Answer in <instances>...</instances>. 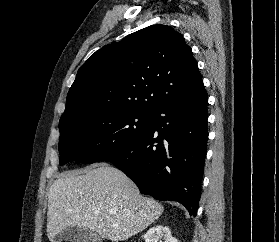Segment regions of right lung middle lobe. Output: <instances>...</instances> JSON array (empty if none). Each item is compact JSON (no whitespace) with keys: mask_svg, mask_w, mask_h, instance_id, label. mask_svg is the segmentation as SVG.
<instances>
[{"mask_svg":"<svg viewBox=\"0 0 279 242\" xmlns=\"http://www.w3.org/2000/svg\"><path fill=\"white\" fill-rule=\"evenodd\" d=\"M152 115L125 110L105 117L66 121L59 125L60 165L73 160L90 164L129 148L147 133Z\"/></svg>","mask_w":279,"mask_h":242,"instance_id":"obj_1","label":"right lung middle lobe"}]
</instances>
